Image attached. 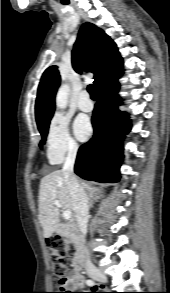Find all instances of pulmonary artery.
I'll return each instance as SVG.
<instances>
[{"instance_id":"1","label":"pulmonary artery","mask_w":170,"mask_h":293,"mask_svg":"<svg viewBox=\"0 0 170 293\" xmlns=\"http://www.w3.org/2000/svg\"><path fill=\"white\" fill-rule=\"evenodd\" d=\"M78 107L84 112H90L93 109V102L90 99L89 93L87 91H83L80 94Z\"/></svg>"}]
</instances>
